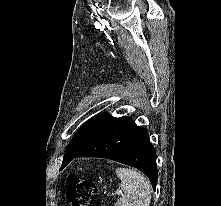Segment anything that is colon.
Listing matches in <instances>:
<instances>
[{
  "label": "colon",
  "mask_w": 221,
  "mask_h": 206,
  "mask_svg": "<svg viewBox=\"0 0 221 206\" xmlns=\"http://www.w3.org/2000/svg\"><path fill=\"white\" fill-rule=\"evenodd\" d=\"M67 198L72 206H102V196L96 184L75 175L68 178Z\"/></svg>",
  "instance_id": "colon-1"
}]
</instances>
